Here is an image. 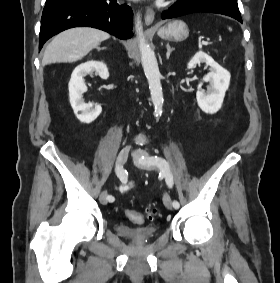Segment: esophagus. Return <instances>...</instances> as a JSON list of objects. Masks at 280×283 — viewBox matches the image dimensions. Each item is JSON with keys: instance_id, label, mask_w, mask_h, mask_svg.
Masks as SVG:
<instances>
[{"instance_id": "obj_1", "label": "esophagus", "mask_w": 280, "mask_h": 283, "mask_svg": "<svg viewBox=\"0 0 280 283\" xmlns=\"http://www.w3.org/2000/svg\"><path fill=\"white\" fill-rule=\"evenodd\" d=\"M155 13L151 7L147 8L146 14H145V23L146 25H151L154 21Z\"/></svg>"}]
</instances>
